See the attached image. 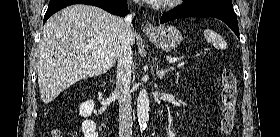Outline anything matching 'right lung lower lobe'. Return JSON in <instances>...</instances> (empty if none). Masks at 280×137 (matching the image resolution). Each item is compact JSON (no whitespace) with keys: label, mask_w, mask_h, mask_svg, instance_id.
Segmentation results:
<instances>
[{"label":"right lung lower lobe","mask_w":280,"mask_h":137,"mask_svg":"<svg viewBox=\"0 0 280 137\" xmlns=\"http://www.w3.org/2000/svg\"><path fill=\"white\" fill-rule=\"evenodd\" d=\"M72 4H87L94 5L106 10L117 16L125 17L128 14L126 0H50L48 9L44 16V23L46 20L60 9ZM135 19L133 20L134 25Z\"/></svg>","instance_id":"obj_1"}]
</instances>
